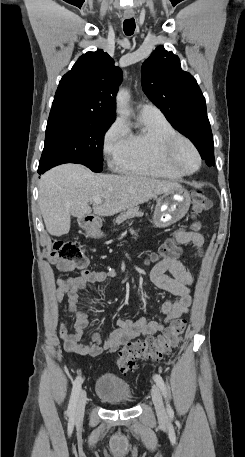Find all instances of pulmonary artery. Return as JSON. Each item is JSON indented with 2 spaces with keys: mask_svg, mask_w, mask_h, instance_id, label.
Returning a JSON list of instances; mask_svg holds the SVG:
<instances>
[{
  "mask_svg": "<svg viewBox=\"0 0 245 457\" xmlns=\"http://www.w3.org/2000/svg\"><path fill=\"white\" fill-rule=\"evenodd\" d=\"M136 108L141 116H154L161 114V111L155 105L150 103H139Z\"/></svg>",
  "mask_w": 245,
  "mask_h": 457,
  "instance_id": "e3ab8cb5",
  "label": "pulmonary artery"
}]
</instances>
